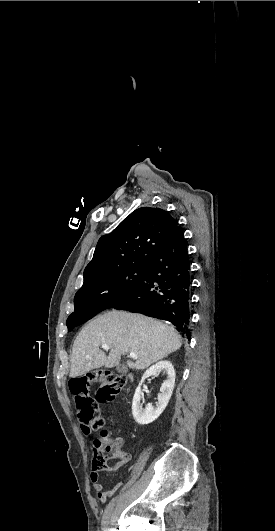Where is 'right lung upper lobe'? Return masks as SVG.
Returning <instances> with one entry per match:
<instances>
[{
    "instance_id": "obj_1",
    "label": "right lung upper lobe",
    "mask_w": 275,
    "mask_h": 531,
    "mask_svg": "<svg viewBox=\"0 0 275 531\" xmlns=\"http://www.w3.org/2000/svg\"><path fill=\"white\" fill-rule=\"evenodd\" d=\"M178 226L165 210H134L113 232L99 239L93 259L84 270L83 284L111 271L146 266Z\"/></svg>"
}]
</instances>
